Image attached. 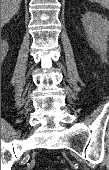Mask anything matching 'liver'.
Wrapping results in <instances>:
<instances>
[{"mask_svg":"<svg viewBox=\"0 0 109 170\" xmlns=\"http://www.w3.org/2000/svg\"><path fill=\"white\" fill-rule=\"evenodd\" d=\"M21 0H1V25L4 26L17 13Z\"/></svg>","mask_w":109,"mask_h":170,"instance_id":"6515ba94","label":"liver"}]
</instances>
